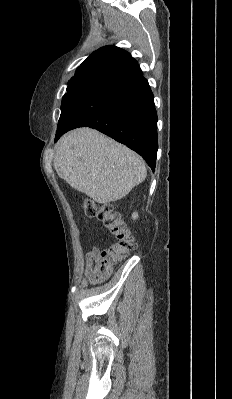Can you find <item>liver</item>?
<instances>
[{
    "label": "liver",
    "instance_id": "1",
    "mask_svg": "<svg viewBox=\"0 0 232 399\" xmlns=\"http://www.w3.org/2000/svg\"><path fill=\"white\" fill-rule=\"evenodd\" d=\"M54 168L74 190L98 203L121 200L147 176L141 156L90 128L59 140Z\"/></svg>",
    "mask_w": 232,
    "mask_h": 399
}]
</instances>
